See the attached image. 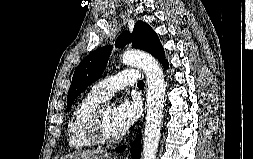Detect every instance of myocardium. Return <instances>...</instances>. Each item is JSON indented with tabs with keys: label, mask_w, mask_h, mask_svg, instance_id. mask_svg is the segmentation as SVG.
Returning a JSON list of instances; mask_svg holds the SVG:
<instances>
[{
	"label": "myocardium",
	"mask_w": 253,
	"mask_h": 159,
	"mask_svg": "<svg viewBox=\"0 0 253 159\" xmlns=\"http://www.w3.org/2000/svg\"><path fill=\"white\" fill-rule=\"evenodd\" d=\"M106 106V104H100L96 108L87 126V135L89 139L93 144L99 146H111L117 144L122 140L123 137L122 134L114 138H109L105 135L103 130L102 116Z\"/></svg>",
	"instance_id": "myocardium-1"
}]
</instances>
